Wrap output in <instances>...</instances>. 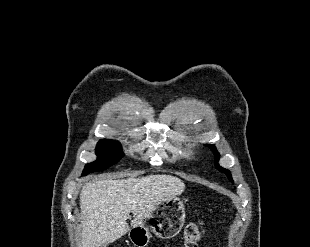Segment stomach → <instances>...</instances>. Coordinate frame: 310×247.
I'll return each mask as SVG.
<instances>
[{"label": "stomach", "mask_w": 310, "mask_h": 247, "mask_svg": "<svg viewBox=\"0 0 310 247\" xmlns=\"http://www.w3.org/2000/svg\"><path fill=\"white\" fill-rule=\"evenodd\" d=\"M149 225L145 222L132 226L129 230V239L136 247H146L151 233L161 239L175 237L185 222L184 202L178 197H172L159 203L152 212Z\"/></svg>", "instance_id": "stomach-1"}]
</instances>
